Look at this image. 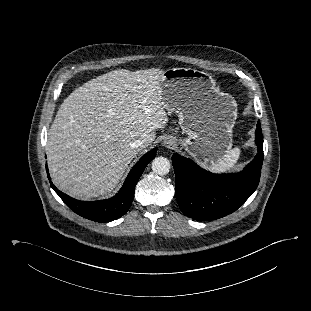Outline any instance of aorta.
I'll use <instances>...</instances> for the list:
<instances>
[{"mask_svg":"<svg viewBox=\"0 0 311 311\" xmlns=\"http://www.w3.org/2000/svg\"><path fill=\"white\" fill-rule=\"evenodd\" d=\"M152 170L158 175H166L170 170V162L166 157H156L152 162Z\"/></svg>","mask_w":311,"mask_h":311,"instance_id":"1","label":"aorta"}]
</instances>
